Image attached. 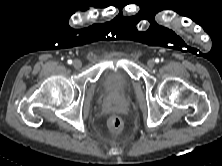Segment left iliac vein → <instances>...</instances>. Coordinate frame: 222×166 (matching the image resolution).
<instances>
[{
  "instance_id": "4c4485c4",
  "label": "left iliac vein",
  "mask_w": 222,
  "mask_h": 166,
  "mask_svg": "<svg viewBox=\"0 0 222 166\" xmlns=\"http://www.w3.org/2000/svg\"><path fill=\"white\" fill-rule=\"evenodd\" d=\"M147 64L150 68H152L155 63H154V60L150 59V60H148Z\"/></svg>"
}]
</instances>
